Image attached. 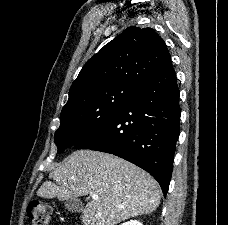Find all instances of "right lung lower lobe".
I'll return each mask as SVG.
<instances>
[{
	"label": "right lung lower lobe",
	"mask_w": 228,
	"mask_h": 225,
	"mask_svg": "<svg viewBox=\"0 0 228 225\" xmlns=\"http://www.w3.org/2000/svg\"><path fill=\"white\" fill-rule=\"evenodd\" d=\"M179 88L170 61L103 124L74 144L119 156L149 172L166 196L180 127Z\"/></svg>",
	"instance_id": "right-lung-lower-lobe-1"
}]
</instances>
